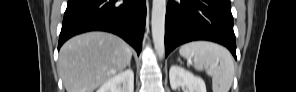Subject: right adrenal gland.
<instances>
[{
    "mask_svg": "<svg viewBox=\"0 0 296 92\" xmlns=\"http://www.w3.org/2000/svg\"><path fill=\"white\" fill-rule=\"evenodd\" d=\"M127 66L129 67V69L131 68V64H130V62L127 64Z\"/></svg>",
    "mask_w": 296,
    "mask_h": 92,
    "instance_id": "obj_1",
    "label": "right adrenal gland"
}]
</instances>
